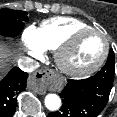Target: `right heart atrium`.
Returning a JSON list of instances; mask_svg holds the SVG:
<instances>
[{
  "label": "right heart atrium",
  "instance_id": "d8ad5b80",
  "mask_svg": "<svg viewBox=\"0 0 117 117\" xmlns=\"http://www.w3.org/2000/svg\"><path fill=\"white\" fill-rule=\"evenodd\" d=\"M23 42L26 47L27 53L34 58H41L44 55L45 49L41 46L37 29L33 26L28 27L23 34Z\"/></svg>",
  "mask_w": 117,
  "mask_h": 117
}]
</instances>
